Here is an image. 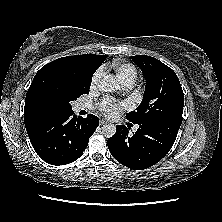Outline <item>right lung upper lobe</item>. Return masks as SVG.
Masks as SVG:
<instances>
[{
    "mask_svg": "<svg viewBox=\"0 0 222 222\" xmlns=\"http://www.w3.org/2000/svg\"><path fill=\"white\" fill-rule=\"evenodd\" d=\"M106 58L107 55L96 54L67 56L56 59L43 66L36 73L27 91L24 107L25 126L44 116L59 112L55 106L46 102L40 96L41 89L48 82L52 69L63 68L74 74L93 75Z\"/></svg>",
    "mask_w": 222,
    "mask_h": 222,
    "instance_id": "cb5924a9",
    "label": "right lung upper lobe"
}]
</instances>
